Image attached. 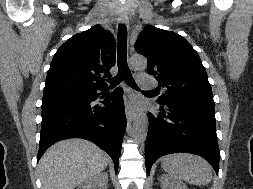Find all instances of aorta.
<instances>
[{"mask_svg":"<svg viewBox=\"0 0 253 189\" xmlns=\"http://www.w3.org/2000/svg\"><path fill=\"white\" fill-rule=\"evenodd\" d=\"M131 62L137 68H145L147 66V60L141 56H133ZM148 125L149 122L146 113L140 112L137 114L133 124V137L136 142L142 143L146 140Z\"/></svg>","mask_w":253,"mask_h":189,"instance_id":"aorta-1","label":"aorta"}]
</instances>
